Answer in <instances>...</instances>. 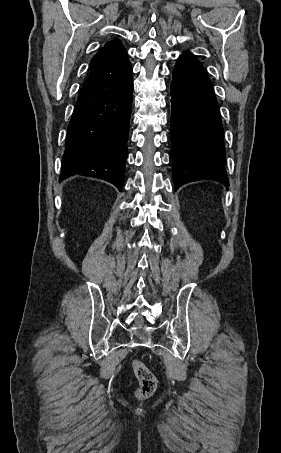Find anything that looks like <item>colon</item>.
Instances as JSON below:
<instances>
[{"mask_svg": "<svg viewBox=\"0 0 281 453\" xmlns=\"http://www.w3.org/2000/svg\"><path fill=\"white\" fill-rule=\"evenodd\" d=\"M131 372L135 377L143 382V393H147L151 389L154 381L152 370L143 362L134 361L131 365Z\"/></svg>", "mask_w": 281, "mask_h": 453, "instance_id": "colon-1", "label": "colon"}]
</instances>
